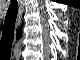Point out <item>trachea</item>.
<instances>
[{"label": "trachea", "instance_id": "3493384b", "mask_svg": "<svg viewBox=\"0 0 80 60\" xmlns=\"http://www.w3.org/2000/svg\"><path fill=\"white\" fill-rule=\"evenodd\" d=\"M17 14H18V2L16 0H11V4L5 16L4 28L0 40V53L1 56L3 57L8 56L10 58L11 56L13 32Z\"/></svg>", "mask_w": 80, "mask_h": 60}]
</instances>
